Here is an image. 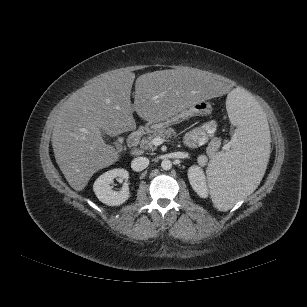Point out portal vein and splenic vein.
Listing matches in <instances>:
<instances>
[{
  "label": "portal vein and splenic vein",
  "mask_w": 307,
  "mask_h": 307,
  "mask_svg": "<svg viewBox=\"0 0 307 307\" xmlns=\"http://www.w3.org/2000/svg\"><path fill=\"white\" fill-rule=\"evenodd\" d=\"M166 140L164 138L161 137H155L152 142L154 145H161L162 143H164Z\"/></svg>",
  "instance_id": "1"
}]
</instances>
